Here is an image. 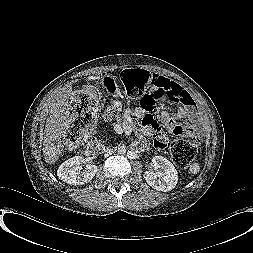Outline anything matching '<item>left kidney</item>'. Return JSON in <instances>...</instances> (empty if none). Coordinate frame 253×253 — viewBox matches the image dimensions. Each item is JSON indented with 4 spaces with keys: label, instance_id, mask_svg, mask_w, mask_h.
<instances>
[{
    "label": "left kidney",
    "instance_id": "1",
    "mask_svg": "<svg viewBox=\"0 0 253 253\" xmlns=\"http://www.w3.org/2000/svg\"><path fill=\"white\" fill-rule=\"evenodd\" d=\"M153 169L144 172V179L152 188L168 192L177 184L178 173L174 165L162 156L152 158Z\"/></svg>",
    "mask_w": 253,
    "mask_h": 253
}]
</instances>
